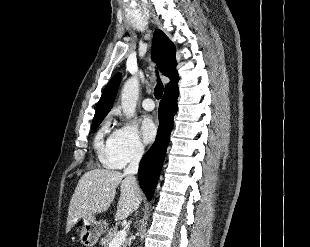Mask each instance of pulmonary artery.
<instances>
[{
    "mask_svg": "<svg viewBox=\"0 0 310 247\" xmlns=\"http://www.w3.org/2000/svg\"><path fill=\"white\" fill-rule=\"evenodd\" d=\"M142 106H143V108L145 110L151 111V110L154 109L155 104H154V101L151 98H146V99L143 100Z\"/></svg>",
    "mask_w": 310,
    "mask_h": 247,
    "instance_id": "1",
    "label": "pulmonary artery"
}]
</instances>
